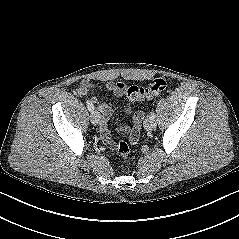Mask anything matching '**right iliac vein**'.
<instances>
[{
	"mask_svg": "<svg viewBox=\"0 0 239 239\" xmlns=\"http://www.w3.org/2000/svg\"><path fill=\"white\" fill-rule=\"evenodd\" d=\"M91 122L94 124V125H98L99 122H100V119H101V115L100 113L95 110V111H92L91 113Z\"/></svg>",
	"mask_w": 239,
	"mask_h": 239,
	"instance_id": "right-iliac-vein-1",
	"label": "right iliac vein"
}]
</instances>
